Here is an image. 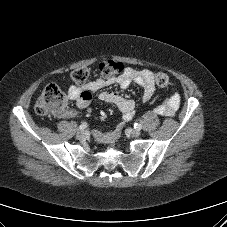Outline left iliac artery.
<instances>
[{"label":"left iliac artery","mask_w":227,"mask_h":227,"mask_svg":"<svg viewBox=\"0 0 227 227\" xmlns=\"http://www.w3.org/2000/svg\"><path fill=\"white\" fill-rule=\"evenodd\" d=\"M134 128L140 130L142 128V125L139 123L134 124Z\"/></svg>","instance_id":"44dca946"}]
</instances>
